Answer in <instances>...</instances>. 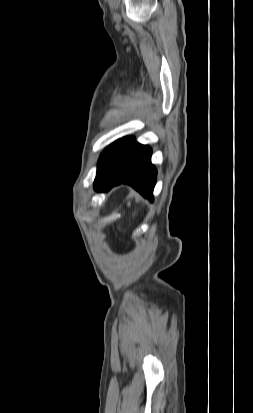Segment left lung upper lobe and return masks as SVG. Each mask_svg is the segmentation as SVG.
I'll use <instances>...</instances> for the list:
<instances>
[{
    "instance_id": "obj_1",
    "label": "left lung upper lobe",
    "mask_w": 253,
    "mask_h": 413,
    "mask_svg": "<svg viewBox=\"0 0 253 413\" xmlns=\"http://www.w3.org/2000/svg\"><path fill=\"white\" fill-rule=\"evenodd\" d=\"M119 140L115 141L114 143H112L111 145H109L101 154L99 161H98V166H97V170L100 169L102 167V165L106 162V160L108 159V157L112 154V152L114 151L115 147L117 146Z\"/></svg>"
}]
</instances>
